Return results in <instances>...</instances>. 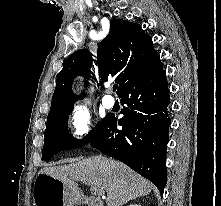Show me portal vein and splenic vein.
<instances>
[{
    "instance_id": "obj_1",
    "label": "portal vein and splenic vein",
    "mask_w": 221,
    "mask_h": 206,
    "mask_svg": "<svg viewBox=\"0 0 221 206\" xmlns=\"http://www.w3.org/2000/svg\"><path fill=\"white\" fill-rule=\"evenodd\" d=\"M92 190L95 194H97L98 196H102V198H105L104 196V191L102 189H99L97 187H92Z\"/></svg>"
}]
</instances>
